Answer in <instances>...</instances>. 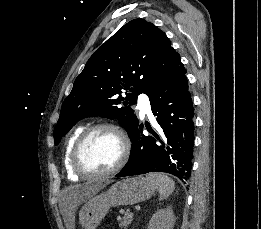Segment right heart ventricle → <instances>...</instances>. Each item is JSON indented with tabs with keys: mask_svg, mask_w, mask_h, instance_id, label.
Wrapping results in <instances>:
<instances>
[{
	"mask_svg": "<svg viewBox=\"0 0 261 229\" xmlns=\"http://www.w3.org/2000/svg\"><path fill=\"white\" fill-rule=\"evenodd\" d=\"M83 131H84V127H79L75 129L68 137L64 146L63 163L67 173L70 175L79 176L78 172L71 165V150L75 141Z\"/></svg>",
	"mask_w": 261,
	"mask_h": 229,
	"instance_id": "right-heart-ventricle-1",
	"label": "right heart ventricle"
}]
</instances>
